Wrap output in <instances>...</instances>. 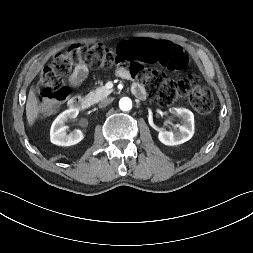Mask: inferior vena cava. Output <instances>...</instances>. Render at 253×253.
Wrapping results in <instances>:
<instances>
[{
	"label": "inferior vena cava",
	"mask_w": 253,
	"mask_h": 253,
	"mask_svg": "<svg viewBox=\"0 0 253 253\" xmlns=\"http://www.w3.org/2000/svg\"><path fill=\"white\" fill-rule=\"evenodd\" d=\"M112 102V99L108 98V99H104L101 100L98 104L99 108H104L106 107L108 104H110Z\"/></svg>",
	"instance_id": "602c4592"
}]
</instances>
